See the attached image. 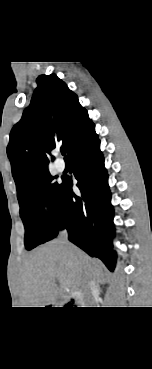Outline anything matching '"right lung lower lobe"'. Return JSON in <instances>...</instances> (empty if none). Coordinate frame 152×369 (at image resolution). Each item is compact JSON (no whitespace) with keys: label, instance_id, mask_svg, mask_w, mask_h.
Instances as JSON below:
<instances>
[{"label":"right lung lower lobe","instance_id":"1","mask_svg":"<svg viewBox=\"0 0 152 369\" xmlns=\"http://www.w3.org/2000/svg\"><path fill=\"white\" fill-rule=\"evenodd\" d=\"M68 156L81 194L73 192L70 177L63 178L58 202L59 224L53 238L66 228L72 243L90 256L101 259L113 271L116 262V253L111 249L114 211L95 128L73 147Z\"/></svg>","mask_w":152,"mask_h":369}]
</instances>
